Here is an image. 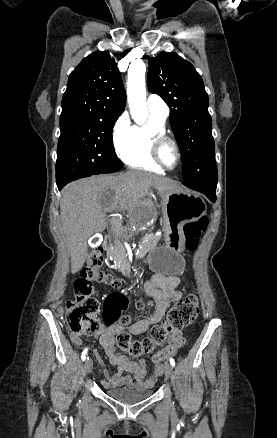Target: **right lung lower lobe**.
<instances>
[{
    "label": "right lung lower lobe",
    "mask_w": 277,
    "mask_h": 438,
    "mask_svg": "<svg viewBox=\"0 0 277 438\" xmlns=\"http://www.w3.org/2000/svg\"><path fill=\"white\" fill-rule=\"evenodd\" d=\"M67 183H69V182H60V183H57V186H58V189L59 190H61Z\"/></svg>",
    "instance_id": "right-lung-lower-lobe-1"
}]
</instances>
